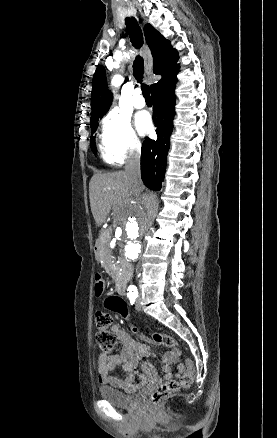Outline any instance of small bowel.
<instances>
[{
    "label": "small bowel",
    "mask_w": 277,
    "mask_h": 438,
    "mask_svg": "<svg viewBox=\"0 0 277 438\" xmlns=\"http://www.w3.org/2000/svg\"><path fill=\"white\" fill-rule=\"evenodd\" d=\"M122 316L126 317V312H120ZM118 341L122 344L120 354L105 356L102 355L97 362L98 379L101 383L109 386L119 388L124 391H129L134 388L135 369L139 360L150 357V348L136 340H134L128 333L120 328L118 324H113L110 327ZM129 333H137L139 328L137 326H129L127 328ZM139 340L145 339L144 333L138 334ZM152 362L149 359L144 360L142 370L145 373L151 372ZM121 367L126 374L123 376L110 375L111 372ZM175 367V370H173ZM163 372L166 378L179 376L185 371V365L181 362L180 352L175 349L163 357Z\"/></svg>",
    "instance_id": "c3829d8e"
}]
</instances>
